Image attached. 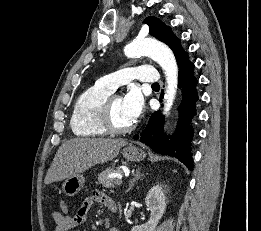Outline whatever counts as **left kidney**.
<instances>
[{"instance_id": "5707ae66", "label": "left kidney", "mask_w": 261, "mask_h": 231, "mask_svg": "<svg viewBox=\"0 0 261 231\" xmlns=\"http://www.w3.org/2000/svg\"><path fill=\"white\" fill-rule=\"evenodd\" d=\"M145 203L151 211L150 219L145 224L133 227L131 231H155L166 209V196L162 187L159 185L152 187L145 198Z\"/></svg>"}]
</instances>
